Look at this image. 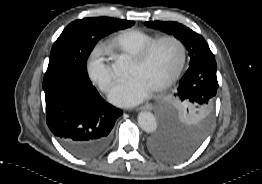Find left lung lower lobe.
Masks as SVG:
<instances>
[{
  "label": "left lung lower lobe",
  "instance_id": "0a47b994",
  "mask_svg": "<svg viewBox=\"0 0 262 184\" xmlns=\"http://www.w3.org/2000/svg\"><path fill=\"white\" fill-rule=\"evenodd\" d=\"M204 62L216 64L214 57L208 58ZM201 142L178 139L162 128L156 136L150 139L148 148L156 158L162 161L177 162L192 155Z\"/></svg>",
  "mask_w": 262,
  "mask_h": 184
}]
</instances>
